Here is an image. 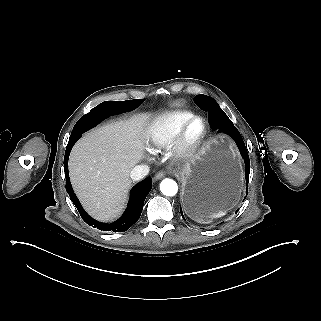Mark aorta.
Masks as SVG:
<instances>
[{
    "instance_id": "aorta-1",
    "label": "aorta",
    "mask_w": 321,
    "mask_h": 321,
    "mask_svg": "<svg viewBox=\"0 0 321 321\" xmlns=\"http://www.w3.org/2000/svg\"><path fill=\"white\" fill-rule=\"evenodd\" d=\"M160 190L166 196H174L178 191V186L174 180L166 178L161 182Z\"/></svg>"
}]
</instances>
